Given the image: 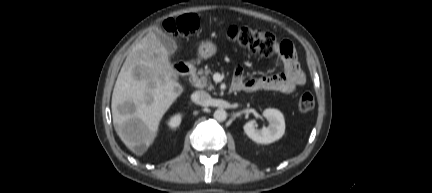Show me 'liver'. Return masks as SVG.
Masks as SVG:
<instances>
[{"label":"liver","instance_id":"1","mask_svg":"<svg viewBox=\"0 0 432 193\" xmlns=\"http://www.w3.org/2000/svg\"><path fill=\"white\" fill-rule=\"evenodd\" d=\"M182 91L167 50L149 32L127 56L112 94L115 130L132 152L142 155L153 144L162 117ZM127 104L132 111L121 112L119 107ZM129 122L133 126L126 132Z\"/></svg>","mask_w":432,"mask_h":193}]
</instances>
